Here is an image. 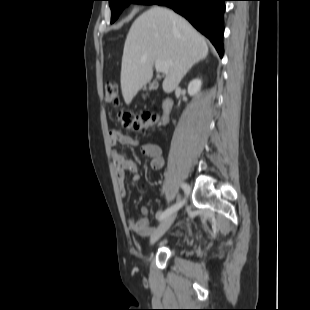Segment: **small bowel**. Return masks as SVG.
<instances>
[{"label": "small bowel", "instance_id": "c3829d8e", "mask_svg": "<svg viewBox=\"0 0 310 310\" xmlns=\"http://www.w3.org/2000/svg\"><path fill=\"white\" fill-rule=\"evenodd\" d=\"M109 142L111 145V156L118 181L119 193L122 197L127 195V190L124 186L126 172L132 173V178L130 181L132 186L140 182L141 176L138 172V167L135 161L122 154L116 147L117 144L129 147H137L143 155L151 159L150 167L154 170H158L164 165V157L161 148L154 143H141L131 136L126 135L116 129H111L109 131ZM142 212L147 214V208L143 207ZM162 213V211L156 212L155 218L159 220ZM128 224L133 232L142 237H147L153 234L156 230L150 225L149 219L147 217H143L138 220L129 219Z\"/></svg>", "mask_w": 310, "mask_h": 310}]
</instances>
